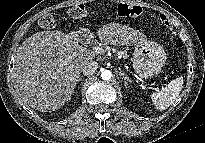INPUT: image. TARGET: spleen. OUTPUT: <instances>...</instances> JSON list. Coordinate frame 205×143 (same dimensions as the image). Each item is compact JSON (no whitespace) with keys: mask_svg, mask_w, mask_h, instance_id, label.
Here are the masks:
<instances>
[{"mask_svg":"<svg viewBox=\"0 0 205 143\" xmlns=\"http://www.w3.org/2000/svg\"><path fill=\"white\" fill-rule=\"evenodd\" d=\"M183 87V77L172 80L168 85L160 91L154 92L151 99L156 109L165 110L172 105L178 98Z\"/></svg>","mask_w":205,"mask_h":143,"instance_id":"1","label":"spleen"}]
</instances>
